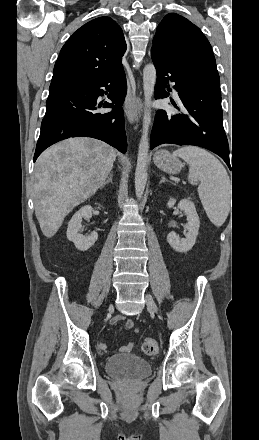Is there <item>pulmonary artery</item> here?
I'll return each instance as SVG.
<instances>
[{
	"instance_id": "e3ab8cb5",
	"label": "pulmonary artery",
	"mask_w": 259,
	"mask_h": 440,
	"mask_svg": "<svg viewBox=\"0 0 259 440\" xmlns=\"http://www.w3.org/2000/svg\"><path fill=\"white\" fill-rule=\"evenodd\" d=\"M173 92H174L175 97H178V93L175 89H173Z\"/></svg>"
}]
</instances>
